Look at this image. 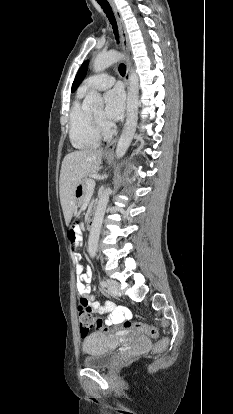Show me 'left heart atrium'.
I'll use <instances>...</instances> for the list:
<instances>
[{
	"label": "left heart atrium",
	"instance_id": "39dd6f15",
	"mask_svg": "<svg viewBox=\"0 0 233 414\" xmlns=\"http://www.w3.org/2000/svg\"><path fill=\"white\" fill-rule=\"evenodd\" d=\"M125 108V94L120 87H115L105 94L104 119L111 125L119 120Z\"/></svg>",
	"mask_w": 233,
	"mask_h": 414
}]
</instances>
